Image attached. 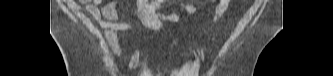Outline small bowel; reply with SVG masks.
Returning a JSON list of instances; mask_svg holds the SVG:
<instances>
[{
  "label": "small bowel",
  "mask_w": 333,
  "mask_h": 76,
  "mask_svg": "<svg viewBox=\"0 0 333 76\" xmlns=\"http://www.w3.org/2000/svg\"><path fill=\"white\" fill-rule=\"evenodd\" d=\"M85 11L101 26L105 32V38L108 46L116 55L121 53L120 40L118 32L130 28L129 24L122 21L125 11L119 10L115 1L102 0H83ZM169 1H151V0H136L134 7L129 11L132 15L139 18L145 25L153 30H159L164 21L172 23H180L181 18L174 13H164L159 6ZM182 9L187 13L194 15L197 12L196 7L191 1H178ZM230 0H220L216 7V22L229 8ZM178 42H173L175 47Z\"/></svg>",
  "instance_id": "c3829d8e"
}]
</instances>
